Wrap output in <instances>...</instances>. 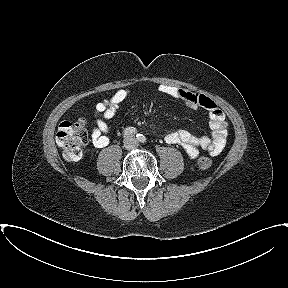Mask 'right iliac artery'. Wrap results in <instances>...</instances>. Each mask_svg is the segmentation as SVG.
<instances>
[{"label":"right iliac artery","mask_w":288,"mask_h":288,"mask_svg":"<svg viewBox=\"0 0 288 288\" xmlns=\"http://www.w3.org/2000/svg\"><path fill=\"white\" fill-rule=\"evenodd\" d=\"M136 129L134 127H128L124 130L123 132V136L124 137H128L130 135H134L136 133Z\"/></svg>","instance_id":"82829eb1"}]
</instances>
